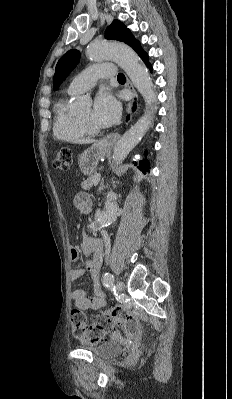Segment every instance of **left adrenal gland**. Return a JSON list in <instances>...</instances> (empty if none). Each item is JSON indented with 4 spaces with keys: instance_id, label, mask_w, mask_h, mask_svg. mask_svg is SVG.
<instances>
[{
    "instance_id": "1",
    "label": "left adrenal gland",
    "mask_w": 232,
    "mask_h": 399,
    "mask_svg": "<svg viewBox=\"0 0 232 399\" xmlns=\"http://www.w3.org/2000/svg\"><path fill=\"white\" fill-rule=\"evenodd\" d=\"M103 188H104V180H102L99 190H103Z\"/></svg>"
}]
</instances>
